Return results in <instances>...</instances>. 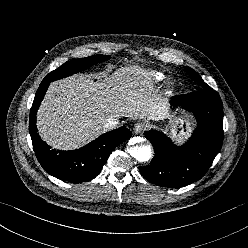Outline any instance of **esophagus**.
<instances>
[{"label":"esophagus","mask_w":248,"mask_h":248,"mask_svg":"<svg viewBox=\"0 0 248 248\" xmlns=\"http://www.w3.org/2000/svg\"><path fill=\"white\" fill-rule=\"evenodd\" d=\"M146 127H147V125L144 122H137L133 128L134 133L135 134H141L146 130Z\"/></svg>","instance_id":"esophagus-1"}]
</instances>
